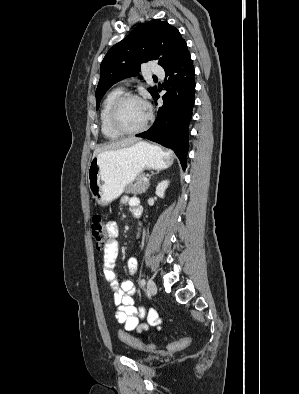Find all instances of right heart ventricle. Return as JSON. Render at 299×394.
<instances>
[{"label":"right heart ventricle","instance_id":"right-heart-ventricle-1","mask_svg":"<svg viewBox=\"0 0 299 394\" xmlns=\"http://www.w3.org/2000/svg\"><path fill=\"white\" fill-rule=\"evenodd\" d=\"M123 94V90L121 88H115L109 91L103 99L101 109H100V125L101 132L104 137L114 140L120 137V134L112 129L109 123V110L113 103V101Z\"/></svg>","mask_w":299,"mask_h":394}]
</instances>
